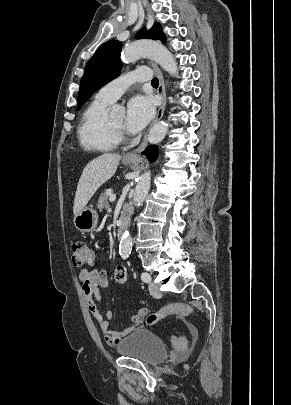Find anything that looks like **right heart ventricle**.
<instances>
[{
	"label": "right heart ventricle",
	"mask_w": 291,
	"mask_h": 405,
	"mask_svg": "<svg viewBox=\"0 0 291 405\" xmlns=\"http://www.w3.org/2000/svg\"><path fill=\"white\" fill-rule=\"evenodd\" d=\"M110 102L97 97L84 110L77 134L80 145L87 151L110 152L118 141L113 136L106 118V111Z\"/></svg>",
	"instance_id": "1"
}]
</instances>
